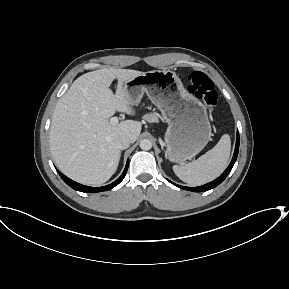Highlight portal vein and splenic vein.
<instances>
[{"instance_id": "portal-vein-and-splenic-vein-1", "label": "portal vein and splenic vein", "mask_w": 289, "mask_h": 289, "mask_svg": "<svg viewBox=\"0 0 289 289\" xmlns=\"http://www.w3.org/2000/svg\"><path fill=\"white\" fill-rule=\"evenodd\" d=\"M118 121H119L118 117H112L110 119V124L116 125V124H118Z\"/></svg>"}]
</instances>
